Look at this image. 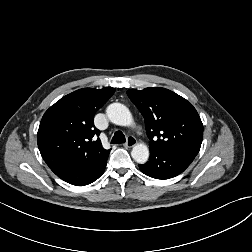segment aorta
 Instances as JSON below:
<instances>
[{
  "label": "aorta",
  "mask_w": 252,
  "mask_h": 252,
  "mask_svg": "<svg viewBox=\"0 0 252 252\" xmlns=\"http://www.w3.org/2000/svg\"><path fill=\"white\" fill-rule=\"evenodd\" d=\"M106 114L109 120L119 126H130L133 118L129 109L121 103H112L107 107ZM132 158L139 164H144L149 158V149L143 144H137L131 151Z\"/></svg>",
  "instance_id": "aorta-1"
}]
</instances>
